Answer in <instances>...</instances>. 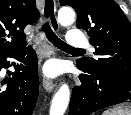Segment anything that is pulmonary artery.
<instances>
[{
    "label": "pulmonary artery",
    "instance_id": "e3ab8cb5",
    "mask_svg": "<svg viewBox=\"0 0 131 115\" xmlns=\"http://www.w3.org/2000/svg\"><path fill=\"white\" fill-rule=\"evenodd\" d=\"M67 44L71 47H86L88 39L80 30L71 29L68 34Z\"/></svg>",
    "mask_w": 131,
    "mask_h": 115
}]
</instances>
